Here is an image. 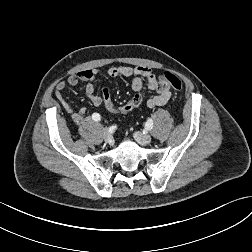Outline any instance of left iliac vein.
Instances as JSON below:
<instances>
[{
	"label": "left iliac vein",
	"instance_id": "left-iliac-vein-1",
	"mask_svg": "<svg viewBox=\"0 0 252 252\" xmlns=\"http://www.w3.org/2000/svg\"><path fill=\"white\" fill-rule=\"evenodd\" d=\"M134 138L138 143H140L142 145H147L152 140V138H151V136L149 134H143V133H141L139 131L134 133Z\"/></svg>",
	"mask_w": 252,
	"mask_h": 252
}]
</instances>
